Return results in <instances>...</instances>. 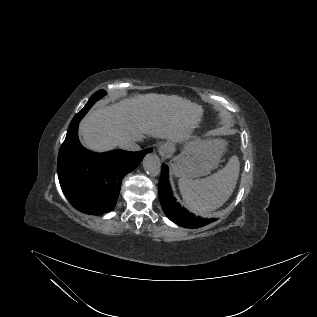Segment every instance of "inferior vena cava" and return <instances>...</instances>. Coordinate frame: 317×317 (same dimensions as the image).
I'll use <instances>...</instances> for the list:
<instances>
[{
  "instance_id": "1",
  "label": "inferior vena cava",
  "mask_w": 317,
  "mask_h": 317,
  "mask_svg": "<svg viewBox=\"0 0 317 317\" xmlns=\"http://www.w3.org/2000/svg\"><path fill=\"white\" fill-rule=\"evenodd\" d=\"M120 148L127 151H139L140 146L135 141H127L120 144Z\"/></svg>"
}]
</instances>
